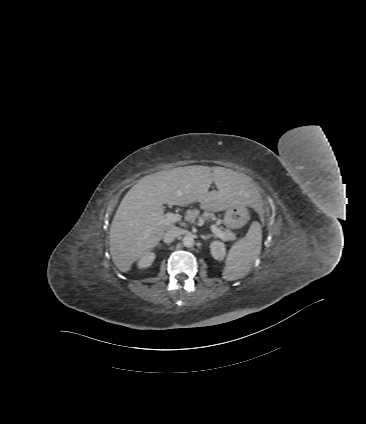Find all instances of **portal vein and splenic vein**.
Returning <instances> with one entry per match:
<instances>
[{"label": "portal vein and splenic vein", "mask_w": 366, "mask_h": 424, "mask_svg": "<svg viewBox=\"0 0 366 424\" xmlns=\"http://www.w3.org/2000/svg\"><path fill=\"white\" fill-rule=\"evenodd\" d=\"M182 220V215L178 213H168L166 214V218L163 219L161 224H173ZM211 231L220 238H224L225 234L218 229L215 225H211Z\"/></svg>", "instance_id": "1"}]
</instances>
